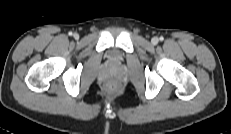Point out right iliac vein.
<instances>
[{
	"label": "right iliac vein",
	"mask_w": 231,
	"mask_h": 134,
	"mask_svg": "<svg viewBox=\"0 0 231 134\" xmlns=\"http://www.w3.org/2000/svg\"><path fill=\"white\" fill-rule=\"evenodd\" d=\"M74 38L75 39H78L79 38V35L77 33L74 34Z\"/></svg>",
	"instance_id": "1"
}]
</instances>
